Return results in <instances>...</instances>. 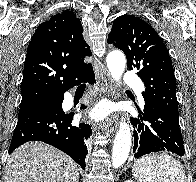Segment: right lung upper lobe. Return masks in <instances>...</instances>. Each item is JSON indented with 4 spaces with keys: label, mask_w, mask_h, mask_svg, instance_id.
<instances>
[{
    "label": "right lung upper lobe",
    "mask_w": 196,
    "mask_h": 182,
    "mask_svg": "<svg viewBox=\"0 0 196 182\" xmlns=\"http://www.w3.org/2000/svg\"><path fill=\"white\" fill-rule=\"evenodd\" d=\"M91 56L83 38V27L69 10L41 23L28 45L22 80L20 105L38 103L60 97L91 64L83 59Z\"/></svg>",
    "instance_id": "right-lung-upper-lobe-1"
}]
</instances>
